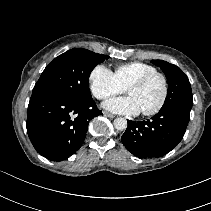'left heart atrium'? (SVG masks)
<instances>
[{
  "label": "left heart atrium",
  "mask_w": 211,
  "mask_h": 211,
  "mask_svg": "<svg viewBox=\"0 0 211 211\" xmlns=\"http://www.w3.org/2000/svg\"><path fill=\"white\" fill-rule=\"evenodd\" d=\"M103 107L111 112L130 116L141 112L137 101L132 96L109 99L103 103Z\"/></svg>",
  "instance_id": "left-heart-atrium-1"
}]
</instances>
